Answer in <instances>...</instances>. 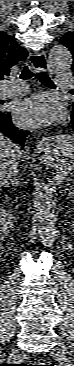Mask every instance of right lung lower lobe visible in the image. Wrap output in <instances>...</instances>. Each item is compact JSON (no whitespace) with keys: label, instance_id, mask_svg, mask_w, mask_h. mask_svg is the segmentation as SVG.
I'll list each match as a JSON object with an SVG mask.
<instances>
[{"label":"right lung lower lobe","instance_id":"1","mask_svg":"<svg viewBox=\"0 0 74 366\" xmlns=\"http://www.w3.org/2000/svg\"><path fill=\"white\" fill-rule=\"evenodd\" d=\"M29 133V131L19 130L12 124L10 113L0 112V134L7 136L13 142H18L24 147V142Z\"/></svg>","mask_w":74,"mask_h":366}]
</instances>
